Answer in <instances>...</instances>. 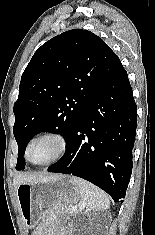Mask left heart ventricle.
Here are the masks:
<instances>
[{
    "label": "left heart ventricle",
    "mask_w": 155,
    "mask_h": 235,
    "mask_svg": "<svg viewBox=\"0 0 155 235\" xmlns=\"http://www.w3.org/2000/svg\"><path fill=\"white\" fill-rule=\"evenodd\" d=\"M60 145L57 140L47 138L36 142L29 157L35 163H43L53 158L59 151Z\"/></svg>",
    "instance_id": "b2bd125f"
}]
</instances>
